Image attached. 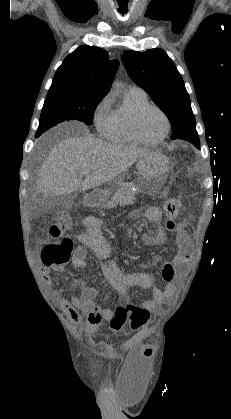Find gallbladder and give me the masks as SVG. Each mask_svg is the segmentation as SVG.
Wrapping results in <instances>:
<instances>
[{"label": "gallbladder", "instance_id": "bac80fb5", "mask_svg": "<svg viewBox=\"0 0 231 419\" xmlns=\"http://www.w3.org/2000/svg\"><path fill=\"white\" fill-rule=\"evenodd\" d=\"M48 201L52 206L58 205L60 207H68L72 203L73 198L71 195H63L58 197H50Z\"/></svg>", "mask_w": 231, "mask_h": 419}]
</instances>
